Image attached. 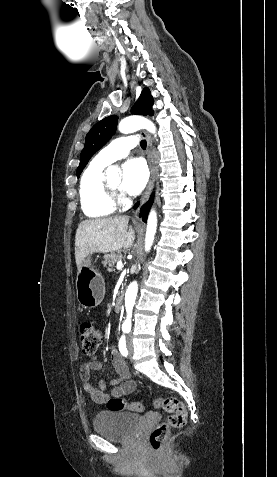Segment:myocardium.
<instances>
[{
	"instance_id": "f54148a6",
	"label": "myocardium",
	"mask_w": 277,
	"mask_h": 477,
	"mask_svg": "<svg viewBox=\"0 0 277 477\" xmlns=\"http://www.w3.org/2000/svg\"><path fill=\"white\" fill-rule=\"evenodd\" d=\"M102 188L107 199L115 204L119 197V190L118 188H115L114 186L111 185V183L108 180V177L105 175L103 178Z\"/></svg>"
}]
</instances>
